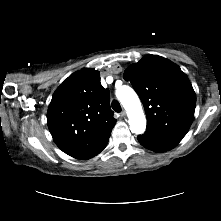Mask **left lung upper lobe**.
Instances as JSON below:
<instances>
[{"label":"left lung upper lobe","mask_w":221,"mask_h":221,"mask_svg":"<svg viewBox=\"0 0 221 221\" xmlns=\"http://www.w3.org/2000/svg\"><path fill=\"white\" fill-rule=\"evenodd\" d=\"M124 79L139 95L147 128L186 134L193 122L196 95L187 76L170 60L147 55L129 66Z\"/></svg>","instance_id":"5c2ea615"}]
</instances>
